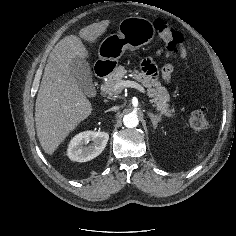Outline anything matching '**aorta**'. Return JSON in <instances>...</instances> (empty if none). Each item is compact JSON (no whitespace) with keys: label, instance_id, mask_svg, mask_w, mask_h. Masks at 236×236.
Segmentation results:
<instances>
[{"label":"aorta","instance_id":"aorta-1","mask_svg":"<svg viewBox=\"0 0 236 236\" xmlns=\"http://www.w3.org/2000/svg\"><path fill=\"white\" fill-rule=\"evenodd\" d=\"M123 123L127 128H134L139 124V120L136 114L129 113L123 117Z\"/></svg>","mask_w":236,"mask_h":236}]
</instances>
